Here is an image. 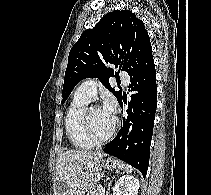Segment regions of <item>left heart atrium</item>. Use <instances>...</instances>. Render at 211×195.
<instances>
[{"instance_id":"39dd6f15","label":"left heart atrium","mask_w":211,"mask_h":195,"mask_svg":"<svg viewBox=\"0 0 211 195\" xmlns=\"http://www.w3.org/2000/svg\"><path fill=\"white\" fill-rule=\"evenodd\" d=\"M101 109L108 117L115 118L116 103L112 98L107 97Z\"/></svg>"}]
</instances>
